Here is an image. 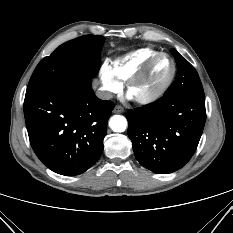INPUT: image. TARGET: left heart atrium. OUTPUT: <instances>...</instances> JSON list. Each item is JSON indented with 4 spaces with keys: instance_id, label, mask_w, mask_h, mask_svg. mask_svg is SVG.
<instances>
[{
    "instance_id": "1",
    "label": "left heart atrium",
    "mask_w": 233,
    "mask_h": 233,
    "mask_svg": "<svg viewBox=\"0 0 233 233\" xmlns=\"http://www.w3.org/2000/svg\"><path fill=\"white\" fill-rule=\"evenodd\" d=\"M127 97H128L129 99H132V98H133V96H132L131 94H128Z\"/></svg>"
}]
</instances>
